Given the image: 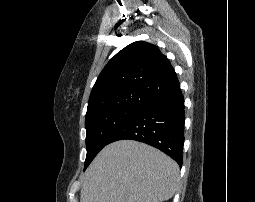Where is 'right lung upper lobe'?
Returning <instances> with one entry per match:
<instances>
[{"instance_id": "right-lung-upper-lobe-1", "label": "right lung upper lobe", "mask_w": 255, "mask_h": 202, "mask_svg": "<svg viewBox=\"0 0 255 202\" xmlns=\"http://www.w3.org/2000/svg\"><path fill=\"white\" fill-rule=\"evenodd\" d=\"M180 88L174 68L160 50L143 41L118 52L91 91L86 116L114 108H137Z\"/></svg>"}]
</instances>
